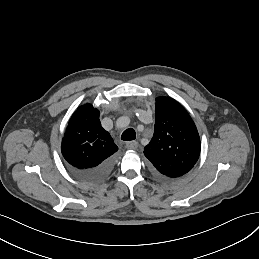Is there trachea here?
I'll list each match as a JSON object with an SVG mask.
<instances>
[{"label":"trachea","mask_w":259,"mask_h":259,"mask_svg":"<svg viewBox=\"0 0 259 259\" xmlns=\"http://www.w3.org/2000/svg\"><path fill=\"white\" fill-rule=\"evenodd\" d=\"M136 138V133L133 129L129 128V129H126L122 135H121V139L123 141H132Z\"/></svg>","instance_id":"trachea-1"}]
</instances>
